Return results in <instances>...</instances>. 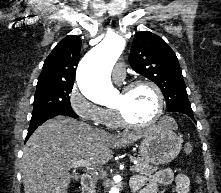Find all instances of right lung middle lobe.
I'll return each instance as SVG.
<instances>
[{"label":"right lung middle lobe","mask_w":221,"mask_h":193,"mask_svg":"<svg viewBox=\"0 0 221 193\" xmlns=\"http://www.w3.org/2000/svg\"><path fill=\"white\" fill-rule=\"evenodd\" d=\"M72 87L73 84L37 86L34 96L32 117L50 111H73L71 108L69 96V93L72 91Z\"/></svg>","instance_id":"right-lung-middle-lobe-1"}]
</instances>
